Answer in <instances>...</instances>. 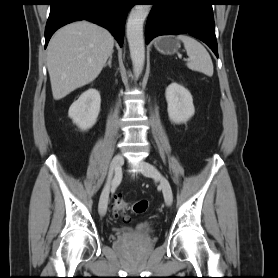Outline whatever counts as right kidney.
<instances>
[{
  "mask_svg": "<svg viewBox=\"0 0 278 278\" xmlns=\"http://www.w3.org/2000/svg\"><path fill=\"white\" fill-rule=\"evenodd\" d=\"M100 104V93L96 89L90 88L72 103L68 111V116L81 130H88L97 121Z\"/></svg>",
  "mask_w": 278,
  "mask_h": 278,
  "instance_id": "obj_1",
  "label": "right kidney"
}]
</instances>
